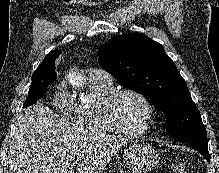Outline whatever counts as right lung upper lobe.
<instances>
[{
    "label": "right lung upper lobe",
    "instance_id": "1",
    "mask_svg": "<svg viewBox=\"0 0 219 173\" xmlns=\"http://www.w3.org/2000/svg\"><path fill=\"white\" fill-rule=\"evenodd\" d=\"M60 54L59 50H53L51 51L42 61V63L38 66V68L34 72H40L44 71L47 73H51L53 75H56L55 71V59ZM57 76V75H56Z\"/></svg>",
    "mask_w": 219,
    "mask_h": 173
}]
</instances>
